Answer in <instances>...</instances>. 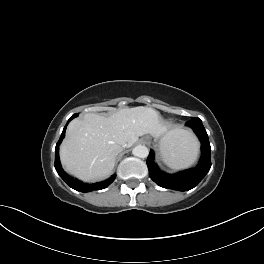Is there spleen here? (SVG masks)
Returning a JSON list of instances; mask_svg holds the SVG:
<instances>
[{
  "label": "spleen",
  "instance_id": "spleen-1",
  "mask_svg": "<svg viewBox=\"0 0 264 264\" xmlns=\"http://www.w3.org/2000/svg\"><path fill=\"white\" fill-rule=\"evenodd\" d=\"M163 162L173 169H183L191 166L197 159L199 144L188 131L179 130L169 144L160 147Z\"/></svg>",
  "mask_w": 264,
  "mask_h": 264
}]
</instances>
